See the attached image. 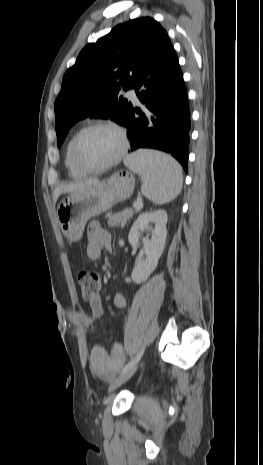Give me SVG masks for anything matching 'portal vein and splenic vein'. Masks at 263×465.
Returning <instances> with one entry per match:
<instances>
[{"mask_svg":"<svg viewBox=\"0 0 263 465\" xmlns=\"http://www.w3.org/2000/svg\"><path fill=\"white\" fill-rule=\"evenodd\" d=\"M143 207V202L140 200H137L136 202L133 203V208L136 210H140Z\"/></svg>","mask_w":263,"mask_h":465,"instance_id":"obj_1","label":"portal vein and splenic vein"}]
</instances>
